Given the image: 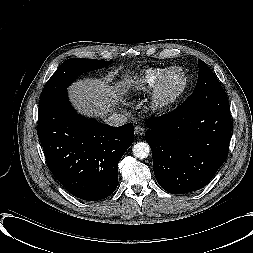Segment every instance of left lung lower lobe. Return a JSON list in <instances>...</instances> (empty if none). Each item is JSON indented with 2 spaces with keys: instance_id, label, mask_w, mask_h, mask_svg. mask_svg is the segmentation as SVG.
I'll list each match as a JSON object with an SVG mask.
<instances>
[{
  "instance_id": "left-lung-lower-lobe-1",
  "label": "left lung lower lobe",
  "mask_w": 253,
  "mask_h": 253,
  "mask_svg": "<svg viewBox=\"0 0 253 253\" xmlns=\"http://www.w3.org/2000/svg\"><path fill=\"white\" fill-rule=\"evenodd\" d=\"M231 125L224 90L204 103L189 96L171 113L148 119L145 139L159 185L173 194L207 185L227 158Z\"/></svg>"
}]
</instances>
